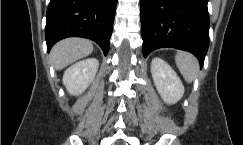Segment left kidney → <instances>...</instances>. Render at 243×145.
<instances>
[{
  "mask_svg": "<svg viewBox=\"0 0 243 145\" xmlns=\"http://www.w3.org/2000/svg\"><path fill=\"white\" fill-rule=\"evenodd\" d=\"M151 74L163 101L169 105L178 102L184 94V86L176 72L159 57L151 62Z\"/></svg>",
  "mask_w": 243,
  "mask_h": 145,
  "instance_id": "obj_1",
  "label": "left kidney"
}]
</instances>
